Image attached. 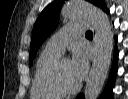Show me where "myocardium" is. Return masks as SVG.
Returning <instances> with one entry per match:
<instances>
[{
  "mask_svg": "<svg viewBox=\"0 0 128 99\" xmlns=\"http://www.w3.org/2000/svg\"><path fill=\"white\" fill-rule=\"evenodd\" d=\"M61 62L62 60H58L55 63V65L53 66V68L49 73L48 81L51 87L57 92H59L61 95L66 96V95L75 94L81 88V83L79 82L76 86L72 88H67L63 85L60 77Z\"/></svg>",
  "mask_w": 128,
  "mask_h": 99,
  "instance_id": "f54148a6",
  "label": "myocardium"
}]
</instances>
